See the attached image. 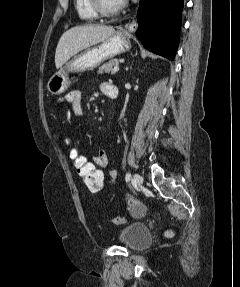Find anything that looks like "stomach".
<instances>
[{
  "instance_id": "1",
  "label": "stomach",
  "mask_w": 240,
  "mask_h": 287,
  "mask_svg": "<svg viewBox=\"0 0 240 287\" xmlns=\"http://www.w3.org/2000/svg\"><path fill=\"white\" fill-rule=\"evenodd\" d=\"M131 48L130 38L122 31L114 32L101 44L88 48L78 55L66 67L61 68L49 79L47 89L52 95L62 94L70 85V72H81L97 67L103 61L129 51Z\"/></svg>"
}]
</instances>
